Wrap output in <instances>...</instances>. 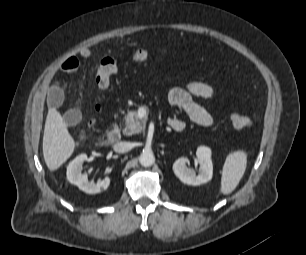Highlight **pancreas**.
<instances>
[{
  "label": "pancreas",
  "mask_w": 306,
  "mask_h": 255,
  "mask_svg": "<svg viewBox=\"0 0 306 255\" xmlns=\"http://www.w3.org/2000/svg\"><path fill=\"white\" fill-rule=\"evenodd\" d=\"M146 119H139L136 111H129L125 115V126L123 133L127 136L144 132Z\"/></svg>",
  "instance_id": "cf45deb5"
}]
</instances>
